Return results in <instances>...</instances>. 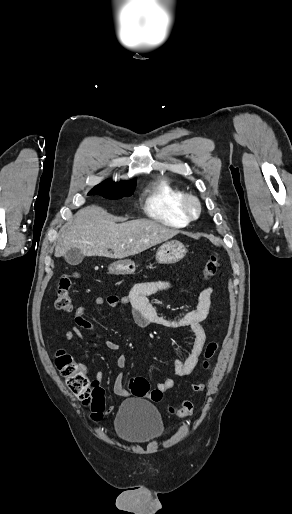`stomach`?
Listing matches in <instances>:
<instances>
[{"label":"stomach","mask_w":292,"mask_h":514,"mask_svg":"<svg viewBox=\"0 0 292 514\" xmlns=\"http://www.w3.org/2000/svg\"><path fill=\"white\" fill-rule=\"evenodd\" d=\"M184 256H186V248L181 242L172 240V242H166V244L160 246L156 254V260L158 264H176ZM108 270L109 274H134L136 264L133 260H118V262L110 264Z\"/></svg>","instance_id":"0dacf381"}]
</instances>
